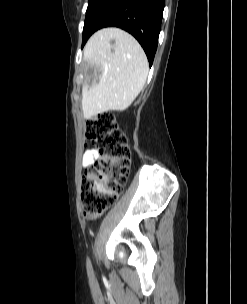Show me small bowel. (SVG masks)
Returning <instances> with one entry per match:
<instances>
[{"mask_svg":"<svg viewBox=\"0 0 247 304\" xmlns=\"http://www.w3.org/2000/svg\"><path fill=\"white\" fill-rule=\"evenodd\" d=\"M99 158V153L96 149H88L85 151L82 159V166L89 168Z\"/></svg>","mask_w":247,"mask_h":304,"instance_id":"c3829d8e","label":"small bowel"}]
</instances>
